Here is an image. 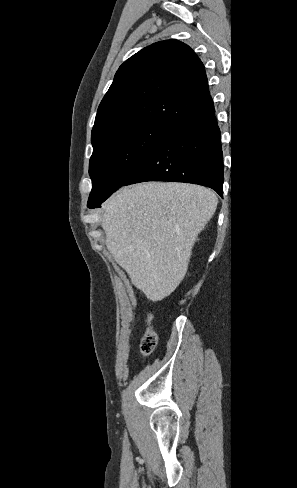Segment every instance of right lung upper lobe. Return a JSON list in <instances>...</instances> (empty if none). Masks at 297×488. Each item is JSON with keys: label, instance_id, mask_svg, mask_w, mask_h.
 Wrapping results in <instances>:
<instances>
[{"label": "right lung upper lobe", "instance_id": "right-lung-upper-lobe-1", "mask_svg": "<svg viewBox=\"0 0 297 488\" xmlns=\"http://www.w3.org/2000/svg\"><path fill=\"white\" fill-rule=\"evenodd\" d=\"M213 104L204 65L178 40L154 43L126 60L101 101L92 129L96 145L126 128H169Z\"/></svg>", "mask_w": 297, "mask_h": 488}]
</instances>
